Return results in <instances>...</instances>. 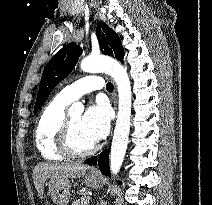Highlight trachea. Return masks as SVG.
Instances as JSON below:
<instances>
[{"label": "trachea", "mask_w": 212, "mask_h": 205, "mask_svg": "<svg viewBox=\"0 0 212 205\" xmlns=\"http://www.w3.org/2000/svg\"><path fill=\"white\" fill-rule=\"evenodd\" d=\"M113 88H114V87H113V84L110 83V82H108L107 85H106L107 91L111 92V91H113Z\"/></svg>", "instance_id": "trachea-1"}]
</instances>
